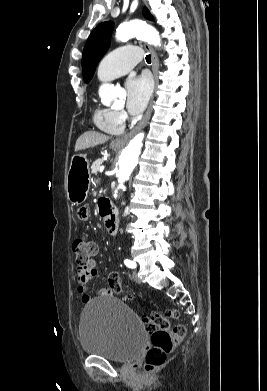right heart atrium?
Masks as SVG:
<instances>
[{
  "label": "right heart atrium",
  "mask_w": 267,
  "mask_h": 391,
  "mask_svg": "<svg viewBox=\"0 0 267 391\" xmlns=\"http://www.w3.org/2000/svg\"><path fill=\"white\" fill-rule=\"evenodd\" d=\"M116 116L117 118L121 121V122H124L125 119H126V114L124 111H117L116 112Z\"/></svg>",
  "instance_id": "right-heart-atrium-1"
}]
</instances>
